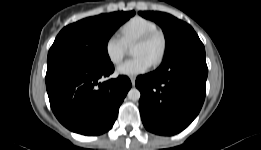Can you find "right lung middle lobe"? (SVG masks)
Listing matches in <instances>:
<instances>
[{
  "mask_svg": "<svg viewBox=\"0 0 261 150\" xmlns=\"http://www.w3.org/2000/svg\"><path fill=\"white\" fill-rule=\"evenodd\" d=\"M134 14V11L101 14L66 26L49 50L47 65L70 62L101 66L111 63L107 53L108 40Z\"/></svg>",
  "mask_w": 261,
  "mask_h": 150,
  "instance_id": "dd1d6c3e",
  "label": "right lung middle lobe"
}]
</instances>
